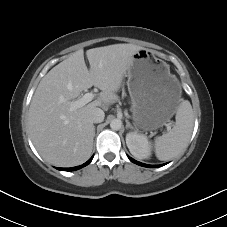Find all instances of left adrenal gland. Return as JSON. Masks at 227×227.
Masks as SVG:
<instances>
[{
	"mask_svg": "<svg viewBox=\"0 0 227 227\" xmlns=\"http://www.w3.org/2000/svg\"><path fill=\"white\" fill-rule=\"evenodd\" d=\"M131 128L133 129V126L130 124V122L126 119V129Z\"/></svg>",
	"mask_w": 227,
	"mask_h": 227,
	"instance_id": "obj_1",
	"label": "left adrenal gland"
}]
</instances>
